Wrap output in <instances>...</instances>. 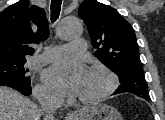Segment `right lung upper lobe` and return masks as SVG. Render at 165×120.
<instances>
[{
  "label": "right lung upper lobe",
  "mask_w": 165,
  "mask_h": 120,
  "mask_svg": "<svg viewBox=\"0 0 165 120\" xmlns=\"http://www.w3.org/2000/svg\"><path fill=\"white\" fill-rule=\"evenodd\" d=\"M33 24L37 33L32 31ZM44 35H49V27L42 8L30 6L28 0L7 7L0 13V60L32 55L34 49L29 44L39 43Z\"/></svg>",
  "instance_id": "obj_1"
}]
</instances>
